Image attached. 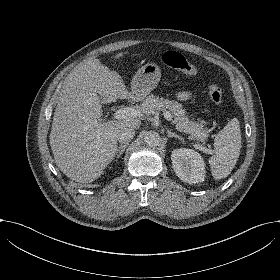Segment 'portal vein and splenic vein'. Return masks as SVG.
Instances as JSON below:
<instances>
[{
	"label": "portal vein and splenic vein",
	"mask_w": 280,
	"mask_h": 280,
	"mask_svg": "<svg viewBox=\"0 0 280 280\" xmlns=\"http://www.w3.org/2000/svg\"><path fill=\"white\" fill-rule=\"evenodd\" d=\"M145 112L148 114L149 112L140 109L139 107H130V108H121L116 112L117 118H129V119H140L145 116ZM162 115L166 119H171V113L167 110H163ZM203 151L207 154L215 153L214 150L203 148Z\"/></svg>",
	"instance_id": "18ae733b"
}]
</instances>
